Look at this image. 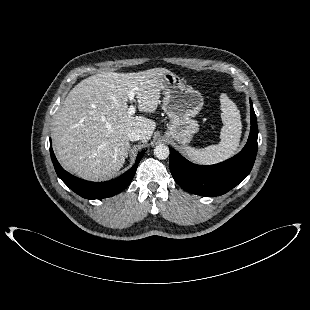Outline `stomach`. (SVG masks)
<instances>
[{
    "instance_id": "1",
    "label": "stomach",
    "mask_w": 310,
    "mask_h": 310,
    "mask_svg": "<svg viewBox=\"0 0 310 310\" xmlns=\"http://www.w3.org/2000/svg\"><path fill=\"white\" fill-rule=\"evenodd\" d=\"M162 83L165 94L162 107L170 118L166 135L184 146L198 131L199 125L193 118L203 107V97L173 72L164 74Z\"/></svg>"
}]
</instances>
